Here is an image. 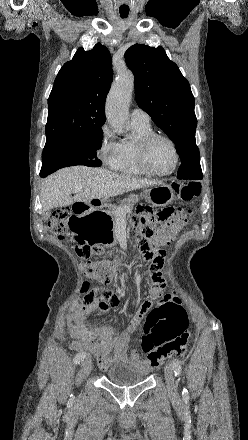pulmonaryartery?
<instances>
[{"label": "pulmonary artery", "mask_w": 248, "mask_h": 440, "mask_svg": "<svg viewBox=\"0 0 248 440\" xmlns=\"http://www.w3.org/2000/svg\"><path fill=\"white\" fill-rule=\"evenodd\" d=\"M130 116L132 123L140 125H150V116L147 112L140 108H134L131 111Z\"/></svg>", "instance_id": "obj_1"}]
</instances>
